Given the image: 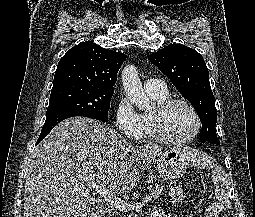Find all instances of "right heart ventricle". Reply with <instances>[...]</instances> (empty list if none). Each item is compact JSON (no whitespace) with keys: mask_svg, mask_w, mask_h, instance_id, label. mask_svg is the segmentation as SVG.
<instances>
[{"mask_svg":"<svg viewBox=\"0 0 255 217\" xmlns=\"http://www.w3.org/2000/svg\"><path fill=\"white\" fill-rule=\"evenodd\" d=\"M149 96L153 99V101L158 105L165 100L169 99V92L168 90L162 92L156 91H147ZM152 112H143L140 114L141 122H142V138L144 139H151L154 140V133L152 129V120H151Z\"/></svg>","mask_w":255,"mask_h":217,"instance_id":"obj_1","label":"right heart ventricle"}]
</instances>
